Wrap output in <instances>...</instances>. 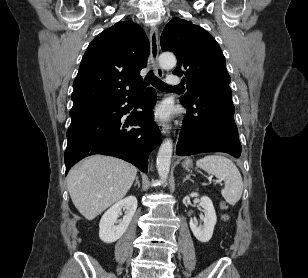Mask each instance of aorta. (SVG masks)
I'll return each instance as SVG.
<instances>
[{
  "instance_id": "762f6f07",
  "label": "aorta",
  "mask_w": 308,
  "mask_h": 278,
  "mask_svg": "<svg viewBox=\"0 0 308 278\" xmlns=\"http://www.w3.org/2000/svg\"><path fill=\"white\" fill-rule=\"evenodd\" d=\"M159 64L164 69H171L176 66V58L172 53L165 52L159 56ZM173 144L171 139H166L160 146L157 155V171L162 180H166L170 170Z\"/></svg>"
}]
</instances>
